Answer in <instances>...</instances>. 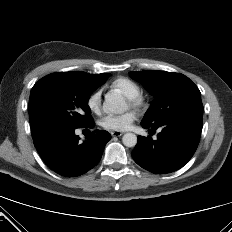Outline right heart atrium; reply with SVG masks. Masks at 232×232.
I'll return each instance as SVG.
<instances>
[{
	"instance_id": "right-heart-atrium-1",
	"label": "right heart atrium",
	"mask_w": 232,
	"mask_h": 232,
	"mask_svg": "<svg viewBox=\"0 0 232 232\" xmlns=\"http://www.w3.org/2000/svg\"><path fill=\"white\" fill-rule=\"evenodd\" d=\"M86 105L92 113L99 114L101 112V92L100 91L92 92L87 97Z\"/></svg>"
}]
</instances>
